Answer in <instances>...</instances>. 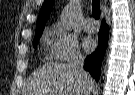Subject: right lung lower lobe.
<instances>
[{"instance_id": "98d812e1", "label": "right lung lower lobe", "mask_w": 135, "mask_h": 95, "mask_svg": "<svg viewBox=\"0 0 135 95\" xmlns=\"http://www.w3.org/2000/svg\"><path fill=\"white\" fill-rule=\"evenodd\" d=\"M108 35L109 27L103 20L99 31L98 48L91 55L87 56L84 65V69L88 71L96 81H98L100 76L101 63L105 54Z\"/></svg>"}]
</instances>
